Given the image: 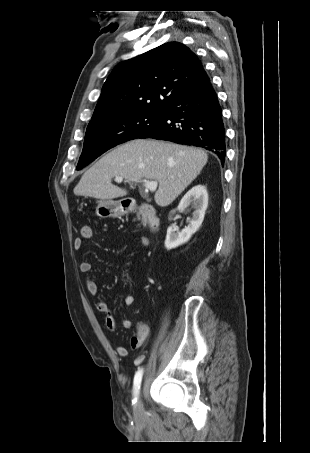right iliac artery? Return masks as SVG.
Returning <instances> with one entry per match:
<instances>
[{"label": "right iliac artery", "mask_w": 310, "mask_h": 453, "mask_svg": "<svg viewBox=\"0 0 310 453\" xmlns=\"http://www.w3.org/2000/svg\"><path fill=\"white\" fill-rule=\"evenodd\" d=\"M142 375H143V369H139L136 372L135 377H134V399H133V404L136 403V401H137V396H138L140 385H141Z\"/></svg>", "instance_id": "1"}]
</instances>
